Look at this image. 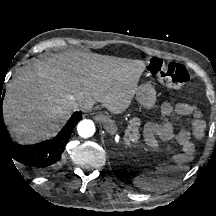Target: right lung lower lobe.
<instances>
[{"label": "right lung lower lobe", "mask_w": 216, "mask_h": 216, "mask_svg": "<svg viewBox=\"0 0 216 216\" xmlns=\"http://www.w3.org/2000/svg\"><path fill=\"white\" fill-rule=\"evenodd\" d=\"M4 94L0 91V153L11 160L26 166L33 172L47 174L55 170L62 162L65 146L74 127L81 120L82 113L74 112L61 131L52 139L35 144H18L8 133L3 117Z\"/></svg>", "instance_id": "obj_1"}]
</instances>
